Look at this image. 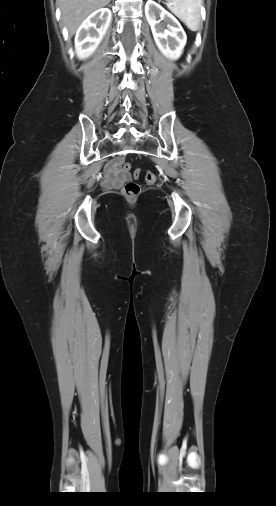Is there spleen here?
Returning <instances> with one entry per match:
<instances>
[{"label":"spleen","mask_w":276,"mask_h":506,"mask_svg":"<svg viewBox=\"0 0 276 506\" xmlns=\"http://www.w3.org/2000/svg\"><path fill=\"white\" fill-rule=\"evenodd\" d=\"M169 9L191 30L200 26L201 0H166Z\"/></svg>","instance_id":"3e777b00"}]
</instances>
